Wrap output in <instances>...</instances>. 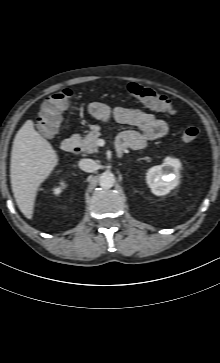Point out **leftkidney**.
Wrapping results in <instances>:
<instances>
[{"mask_svg":"<svg viewBox=\"0 0 220 363\" xmlns=\"http://www.w3.org/2000/svg\"><path fill=\"white\" fill-rule=\"evenodd\" d=\"M181 163L167 157L162 165L152 167L146 173V181L153 194L163 196L175 186Z\"/></svg>","mask_w":220,"mask_h":363,"instance_id":"obj_1","label":"left kidney"}]
</instances>
